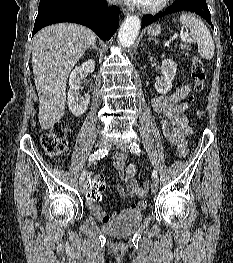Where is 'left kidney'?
Segmentation results:
<instances>
[{
  "label": "left kidney",
  "mask_w": 233,
  "mask_h": 263,
  "mask_svg": "<svg viewBox=\"0 0 233 263\" xmlns=\"http://www.w3.org/2000/svg\"><path fill=\"white\" fill-rule=\"evenodd\" d=\"M161 71L163 77L155 82V89L160 94H166L172 88V81L176 75L177 65L171 59H164L162 61Z\"/></svg>",
  "instance_id": "1"
}]
</instances>
